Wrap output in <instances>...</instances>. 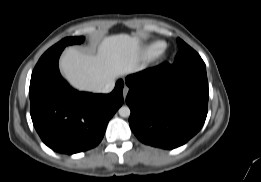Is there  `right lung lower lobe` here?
I'll list each match as a JSON object with an SVG mask.
<instances>
[{
    "mask_svg": "<svg viewBox=\"0 0 261 182\" xmlns=\"http://www.w3.org/2000/svg\"><path fill=\"white\" fill-rule=\"evenodd\" d=\"M63 47L47 50L30 81L31 118L42 141L52 150L74 154L97 146L108 121L123 103V81L110 94L72 89L61 77L58 60Z\"/></svg>",
    "mask_w": 261,
    "mask_h": 182,
    "instance_id": "98d812e1",
    "label": "right lung lower lobe"
}]
</instances>
